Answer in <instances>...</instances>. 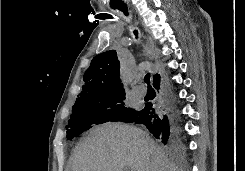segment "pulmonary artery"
Listing matches in <instances>:
<instances>
[{"mask_svg": "<svg viewBox=\"0 0 245 171\" xmlns=\"http://www.w3.org/2000/svg\"><path fill=\"white\" fill-rule=\"evenodd\" d=\"M135 95L142 97L146 94L147 90L144 86H136L133 89Z\"/></svg>", "mask_w": 245, "mask_h": 171, "instance_id": "obj_1", "label": "pulmonary artery"}]
</instances>
